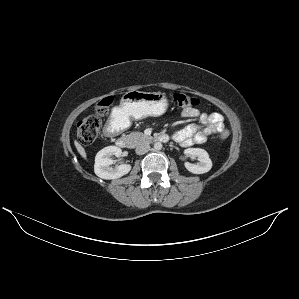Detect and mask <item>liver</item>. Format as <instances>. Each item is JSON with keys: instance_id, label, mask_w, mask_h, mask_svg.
I'll list each match as a JSON object with an SVG mask.
<instances>
[{"instance_id": "1", "label": "liver", "mask_w": 299, "mask_h": 299, "mask_svg": "<svg viewBox=\"0 0 299 299\" xmlns=\"http://www.w3.org/2000/svg\"><path fill=\"white\" fill-rule=\"evenodd\" d=\"M75 147L78 151V153L82 156V158L87 159V154L85 149L81 146V144L79 142H77L76 140L74 141Z\"/></svg>"}]
</instances>
